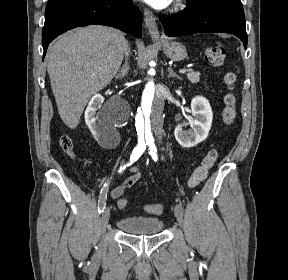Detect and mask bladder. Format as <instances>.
<instances>
[{"instance_id": "obj_1", "label": "bladder", "mask_w": 288, "mask_h": 280, "mask_svg": "<svg viewBox=\"0 0 288 280\" xmlns=\"http://www.w3.org/2000/svg\"><path fill=\"white\" fill-rule=\"evenodd\" d=\"M117 227L127 234H157L162 231L164 223L158 217L126 216L117 221Z\"/></svg>"}]
</instances>
